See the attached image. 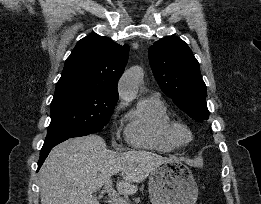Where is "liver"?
<instances>
[{
	"label": "liver",
	"mask_w": 261,
	"mask_h": 204,
	"mask_svg": "<svg viewBox=\"0 0 261 204\" xmlns=\"http://www.w3.org/2000/svg\"><path fill=\"white\" fill-rule=\"evenodd\" d=\"M169 160L147 151L116 153L95 134L68 139L50 152L40 169L41 204H99L94 191L119 172L123 180L117 183L118 192L132 195L136 184Z\"/></svg>",
	"instance_id": "liver-1"
}]
</instances>
